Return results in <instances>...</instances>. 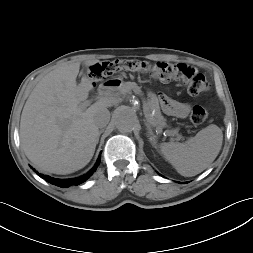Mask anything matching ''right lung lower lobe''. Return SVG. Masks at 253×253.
Masks as SVG:
<instances>
[{"label":"right lung lower lobe","mask_w":253,"mask_h":253,"mask_svg":"<svg viewBox=\"0 0 253 253\" xmlns=\"http://www.w3.org/2000/svg\"><path fill=\"white\" fill-rule=\"evenodd\" d=\"M100 158H98L96 165L86 174L83 175L81 177L78 178H73V179H56V178H52L50 176L47 175H43V174H39L37 173L41 178H44L45 180H47L48 182H50L51 184H54L56 186L65 188V187H69L71 185H79L81 183H83L84 181H86L92 174L93 172H95L97 165L100 163Z\"/></svg>","instance_id":"98d812e1"}]
</instances>
